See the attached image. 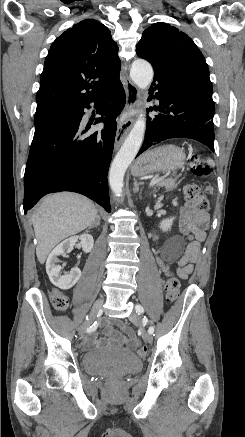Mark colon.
<instances>
[{"label":"colon","instance_id":"obj_1","mask_svg":"<svg viewBox=\"0 0 245 437\" xmlns=\"http://www.w3.org/2000/svg\"><path fill=\"white\" fill-rule=\"evenodd\" d=\"M191 171L198 177H208L210 175V167L207 163L197 154H193L190 159ZM211 189L209 188L208 191ZM184 194L186 199L191 202L198 211L206 212L210 209V200L204 194H202L195 184H187L184 187ZM165 294L168 302H173L177 299L180 292V282L178 278L171 275L165 282ZM50 300L53 307L57 311H65L68 307V298L65 294L58 290H52L50 292ZM137 353L139 356L144 357L147 354V348L145 346L138 347Z\"/></svg>","mask_w":245,"mask_h":437}]
</instances>
